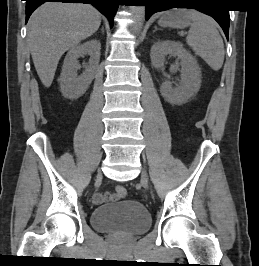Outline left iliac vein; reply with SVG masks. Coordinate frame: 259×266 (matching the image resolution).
Masks as SVG:
<instances>
[{"label":"left iliac vein","instance_id":"obj_1","mask_svg":"<svg viewBox=\"0 0 259 266\" xmlns=\"http://www.w3.org/2000/svg\"><path fill=\"white\" fill-rule=\"evenodd\" d=\"M141 182L145 188H148V175L145 170L141 173Z\"/></svg>","mask_w":259,"mask_h":266}]
</instances>
